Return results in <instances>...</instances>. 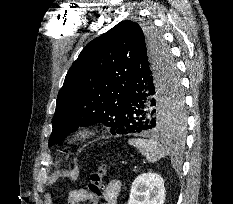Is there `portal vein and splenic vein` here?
<instances>
[{"label":"portal vein and splenic vein","instance_id":"portal-vein-and-splenic-vein-1","mask_svg":"<svg viewBox=\"0 0 233 204\" xmlns=\"http://www.w3.org/2000/svg\"><path fill=\"white\" fill-rule=\"evenodd\" d=\"M136 168H137V167L135 166V167H134V171L136 170Z\"/></svg>","mask_w":233,"mask_h":204}]
</instances>
